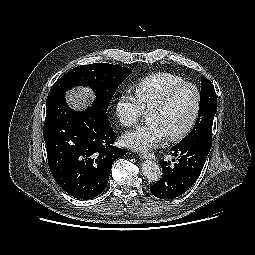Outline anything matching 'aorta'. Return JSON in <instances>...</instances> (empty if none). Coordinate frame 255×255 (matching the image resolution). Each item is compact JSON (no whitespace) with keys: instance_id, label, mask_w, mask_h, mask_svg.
Wrapping results in <instances>:
<instances>
[{"instance_id":"aorta-1","label":"aorta","mask_w":255,"mask_h":255,"mask_svg":"<svg viewBox=\"0 0 255 255\" xmlns=\"http://www.w3.org/2000/svg\"><path fill=\"white\" fill-rule=\"evenodd\" d=\"M141 171L145 178L150 182H157L162 176L160 166L152 160L144 161L141 166Z\"/></svg>"}]
</instances>
